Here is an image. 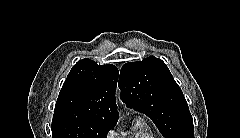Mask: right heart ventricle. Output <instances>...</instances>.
I'll return each mask as SVG.
<instances>
[{
	"instance_id": "e07e8e85",
	"label": "right heart ventricle",
	"mask_w": 240,
	"mask_h": 138,
	"mask_svg": "<svg viewBox=\"0 0 240 138\" xmlns=\"http://www.w3.org/2000/svg\"><path fill=\"white\" fill-rule=\"evenodd\" d=\"M119 138H154L153 133L147 127V125L141 121L137 120L132 128L123 133Z\"/></svg>"
}]
</instances>
